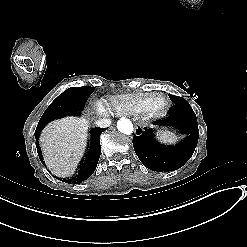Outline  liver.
Instances as JSON below:
<instances>
[{
	"label": "liver",
	"mask_w": 247,
	"mask_h": 247,
	"mask_svg": "<svg viewBox=\"0 0 247 247\" xmlns=\"http://www.w3.org/2000/svg\"><path fill=\"white\" fill-rule=\"evenodd\" d=\"M88 121L67 118L50 123L41 134L46 164L58 177L72 174L85 146Z\"/></svg>",
	"instance_id": "6515ba94"
}]
</instances>
